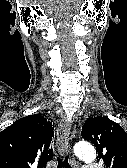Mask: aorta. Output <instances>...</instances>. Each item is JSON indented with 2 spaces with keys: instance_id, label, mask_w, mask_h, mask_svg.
Masks as SVG:
<instances>
[{
  "instance_id": "762f6f07",
  "label": "aorta",
  "mask_w": 127,
  "mask_h": 168,
  "mask_svg": "<svg viewBox=\"0 0 127 168\" xmlns=\"http://www.w3.org/2000/svg\"><path fill=\"white\" fill-rule=\"evenodd\" d=\"M75 155L84 162H92L96 158L94 147L88 142H80L74 148Z\"/></svg>"
}]
</instances>
